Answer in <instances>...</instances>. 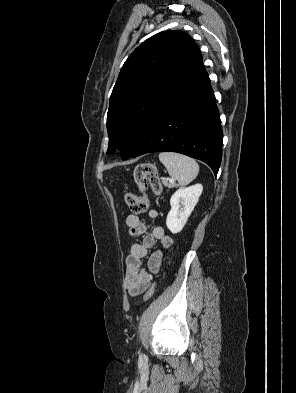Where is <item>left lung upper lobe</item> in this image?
Here are the masks:
<instances>
[{"mask_svg":"<svg viewBox=\"0 0 296 393\" xmlns=\"http://www.w3.org/2000/svg\"><path fill=\"white\" fill-rule=\"evenodd\" d=\"M203 68L198 45L179 30L160 32L125 61L107 114V153L121 149L128 159L168 104Z\"/></svg>","mask_w":296,"mask_h":393,"instance_id":"left-lung-upper-lobe-1","label":"left lung upper lobe"}]
</instances>
